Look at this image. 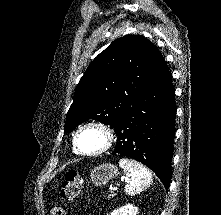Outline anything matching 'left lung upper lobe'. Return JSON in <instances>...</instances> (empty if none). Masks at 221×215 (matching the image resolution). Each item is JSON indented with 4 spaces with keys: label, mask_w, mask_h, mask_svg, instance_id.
<instances>
[{
    "label": "left lung upper lobe",
    "mask_w": 221,
    "mask_h": 215,
    "mask_svg": "<svg viewBox=\"0 0 221 215\" xmlns=\"http://www.w3.org/2000/svg\"><path fill=\"white\" fill-rule=\"evenodd\" d=\"M164 63L157 47L142 36L126 35L114 40L80 79L64 132L89 119L115 129Z\"/></svg>",
    "instance_id": "1"
}]
</instances>
